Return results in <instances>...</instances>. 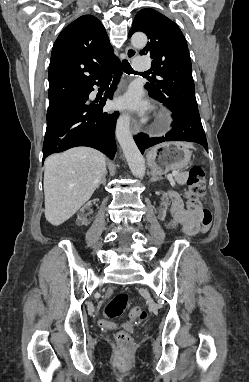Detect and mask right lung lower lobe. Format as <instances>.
Returning <instances> with one entry per match:
<instances>
[{
	"label": "right lung lower lobe",
	"mask_w": 249,
	"mask_h": 382,
	"mask_svg": "<svg viewBox=\"0 0 249 382\" xmlns=\"http://www.w3.org/2000/svg\"><path fill=\"white\" fill-rule=\"evenodd\" d=\"M108 74H114V82L103 98L89 100L93 85H100ZM122 74L119 59L110 63L95 81L81 92V97L59 109L47 113V129L43 144V161L53 153L76 146L95 148L114 158L115 125L119 113L103 112L107 98H112L117 81Z\"/></svg>",
	"instance_id": "1"
}]
</instances>
